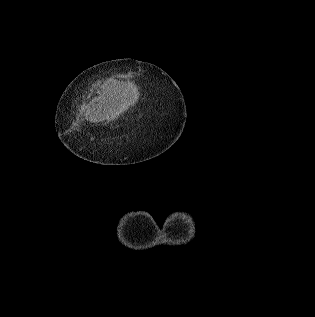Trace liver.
<instances>
[{
	"label": "liver",
	"mask_w": 315,
	"mask_h": 317,
	"mask_svg": "<svg viewBox=\"0 0 315 317\" xmlns=\"http://www.w3.org/2000/svg\"><path fill=\"white\" fill-rule=\"evenodd\" d=\"M132 104L130 98L122 90L118 94H110L108 97L103 96L99 100L98 106L90 112L89 118L93 122H109L117 119L120 114L128 110Z\"/></svg>",
	"instance_id": "1"
}]
</instances>
